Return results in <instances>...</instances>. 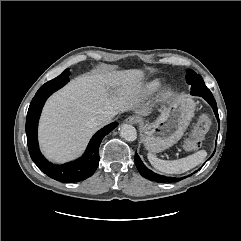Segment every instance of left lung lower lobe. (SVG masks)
<instances>
[{"instance_id":"1","label":"left lung lower lobe","mask_w":241,"mask_h":241,"mask_svg":"<svg viewBox=\"0 0 241 241\" xmlns=\"http://www.w3.org/2000/svg\"><path fill=\"white\" fill-rule=\"evenodd\" d=\"M186 80L188 84H191V94L192 95H196V96H201L203 97L213 108V111L215 113V116L219 122V115H218V110H217V104L216 101L212 95V93L210 91H204L200 88H197L198 84H193V81L190 79L189 76H186ZM214 154V153H213ZM212 154V156H213ZM211 156V157H212ZM135 164L138 168V171L140 172V174L151 180V181H156V182H162V183H173V182H178L184 178H175V177H166V176H161L158 175L154 172H152L151 170H149L141 161L140 157L138 156L137 153H135Z\"/></svg>"}]
</instances>
